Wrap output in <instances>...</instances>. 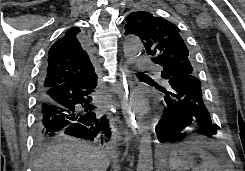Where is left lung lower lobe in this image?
<instances>
[{"mask_svg":"<svg viewBox=\"0 0 245 171\" xmlns=\"http://www.w3.org/2000/svg\"><path fill=\"white\" fill-rule=\"evenodd\" d=\"M156 87L163 92L166 106L156 126L161 143H173L182 138V130L194 125L200 134L211 138L217 133L196 75L179 73L166 80V86Z\"/></svg>","mask_w":245,"mask_h":171,"instance_id":"obj_1","label":"left lung lower lobe"}]
</instances>
